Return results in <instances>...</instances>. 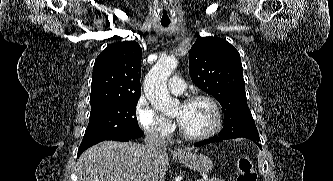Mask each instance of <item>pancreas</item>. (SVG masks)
Listing matches in <instances>:
<instances>
[{
    "mask_svg": "<svg viewBox=\"0 0 333 181\" xmlns=\"http://www.w3.org/2000/svg\"><path fill=\"white\" fill-rule=\"evenodd\" d=\"M208 181H225V180H222V179H219V178H211Z\"/></svg>",
    "mask_w": 333,
    "mask_h": 181,
    "instance_id": "cf45deb5",
    "label": "pancreas"
}]
</instances>
